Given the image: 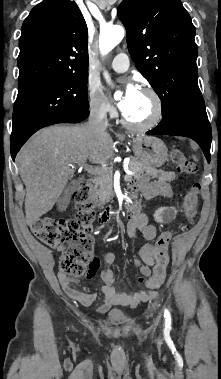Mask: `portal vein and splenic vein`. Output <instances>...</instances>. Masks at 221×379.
I'll return each instance as SVG.
<instances>
[{"label":"portal vein and splenic vein","mask_w":221,"mask_h":379,"mask_svg":"<svg viewBox=\"0 0 221 379\" xmlns=\"http://www.w3.org/2000/svg\"><path fill=\"white\" fill-rule=\"evenodd\" d=\"M79 166L84 168V170H86L90 174L101 175L105 172V169L87 165L85 164V162L80 163ZM125 173H126L125 175L126 178L129 177L130 175H133V172L128 169H125Z\"/></svg>","instance_id":"obj_1"}]
</instances>
